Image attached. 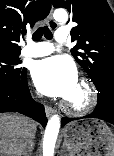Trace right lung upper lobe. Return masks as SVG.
Returning <instances> with one entry per match:
<instances>
[{
  "mask_svg": "<svg viewBox=\"0 0 114 156\" xmlns=\"http://www.w3.org/2000/svg\"><path fill=\"white\" fill-rule=\"evenodd\" d=\"M50 9L49 0H0V50L21 51L20 34L43 20Z\"/></svg>",
  "mask_w": 114,
  "mask_h": 156,
  "instance_id": "obj_1",
  "label": "right lung upper lobe"
}]
</instances>
